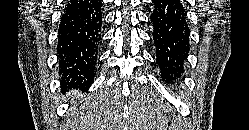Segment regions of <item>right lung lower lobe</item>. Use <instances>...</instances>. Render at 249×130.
<instances>
[{
    "label": "right lung lower lobe",
    "instance_id": "98d812e1",
    "mask_svg": "<svg viewBox=\"0 0 249 130\" xmlns=\"http://www.w3.org/2000/svg\"><path fill=\"white\" fill-rule=\"evenodd\" d=\"M102 14L100 0H72L64 8L57 45L62 83L88 87L93 82Z\"/></svg>",
    "mask_w": 249,
    "mask_h": 130
}]
</instances>
